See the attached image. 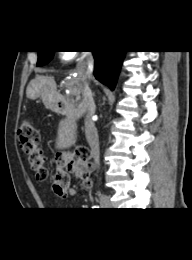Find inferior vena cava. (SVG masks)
<instances>
[{
    "mask_svg": "<svg viewBox=\"0 0 192 260\" xmlns=\"http://www.w3.org/2000/svg\"><path fill=\"white\" fill-rule=\"evenodd\" d=\"M94 59L91 53L86 52L81 57L76 65V72L82 84V101L86 109L85 119V135L91 149L94 162L99 167V142L98 134L93 121L91 120L92 114L95 112V103L93 100L92 92L89 87V82L93 72Z\"/></svg>",
    "mask_w": 192,
    "mask_h": 260,
    "instance_id": "1",
    "label": "inferior vena cava"
}]
</instances>
